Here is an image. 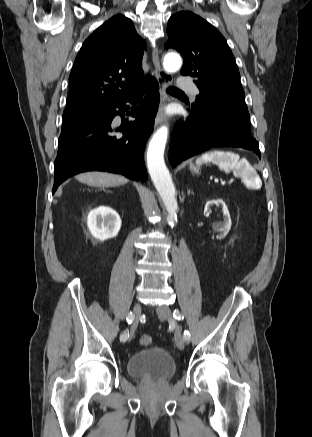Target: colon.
Wrapping results in <instances>:
<instances>
[{"mask_svg": "<svg viewBox=\"0 0 312 437\" xmlns=\"http://www.w3.org/2000/svg\"><path fill=\"white\" fill-rule=\"evenodd\" d=\"M139 341L142 346L148 347L152 345L153 339L150 335L144 334L140 337Z\"/></svg>", "mask_w": 312, "mask_h": 437, "instance_id": "1", "label": "colon"}]
</instances>
